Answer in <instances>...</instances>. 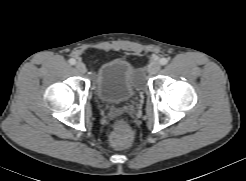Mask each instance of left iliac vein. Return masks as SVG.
<instances>
[{
    "label": "left iliac vein",
    "instance_id": "1",
    "mask_svg": "<svg viewBox=\"0 0 246 181\" xmlns=\"http://www.w3.org/2000/svg\"><path fill=\"white\" fill-rule=\"evenodd\" d=\"M160 64L156 61H153L148 66V73L149 74H156L160 70Z\"/></svg>",
    "mask_w": 246,
    "mask_h": 181
}]
</instances>
